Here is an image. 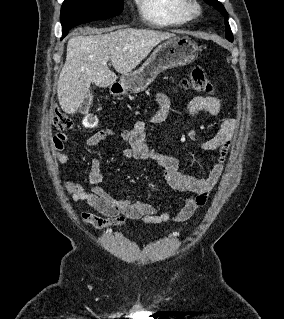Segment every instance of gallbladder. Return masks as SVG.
<instances>
[{
  "instance_id": "obj_1",
  "label": "gallbladder",
  "mask_w": 284,
  "mask_h": 319,
  "mask_svg": "<svg viewBox=\"0 0 284 319\" xmlns=\"http://www.w3.org/2000/svg\"><path fill=\"white\" fill-rule=\"evenodd\" d=\"M91 101H92V98L91 96H89L86 100H84L83 107L88 108L91 105Z\"/></svg>"
}]
</instances>
